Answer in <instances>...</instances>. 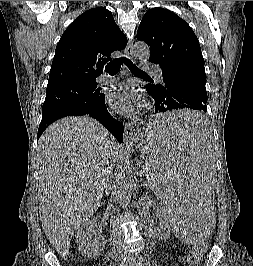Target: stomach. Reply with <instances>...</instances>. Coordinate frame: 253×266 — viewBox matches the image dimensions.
<instances>
[{"label":"stomach","mask_w":253,"mask_h":266,"mask_svg":"<svg viewBox=\"0 0 253 266\" xmlns=\"http://www.w3.org/2000/svg\"><path fill=\"white\" fill-rule=\"evenodd\" d=\"M179 111H187V110H179ZM154 138H157V136H154V132H150V129L148 128L146 129V132L142 136V138L137 140L134 143V145L147 156V151L149 150L150 145H153Z\"/></svg>","instance_id":"0dacf381"}]
</instances>
